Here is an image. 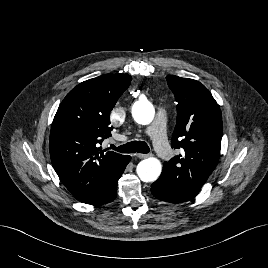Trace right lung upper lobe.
I'll list each match as a JSON object with an SVG mask.
<instances>
[{
  "label": "right lung upper lobe",
  "instance_id": "obj_1",
  "mask_svg": "<svg viewBox=\"0 0 268 268\" xmlns=\"http://www.w3.org/2000/svg\"><path fill=\"white\" fill-rule=\"evenodd\" d=\"M128 74H105L78 84L54 117L49 151L65 187L80 202L91 204L104 191L127 157L100 151L111 136L110 112L129 87Z\"/></svg>",
  "mask_w": 268,
  "mask_h": 268
}]
</instances>
